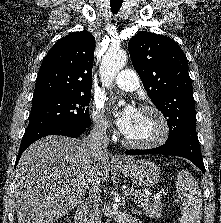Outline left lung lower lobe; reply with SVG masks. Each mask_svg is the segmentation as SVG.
I'll list each match as a JSON object with an SVG mask.
<instances>
[{"label":"left lung lower lobe","instance_id":"0a47b994","mask_svg":"<svg viewBox=\"0 0 221 223\" xmlns=\"http://www.w3.org/2000/svg\"><path fill=\"white\" fill-rule=\"evenodd\" d=\"M127 155L139 154H164L174 155L189 159L200 170L205 173V167L201 156L199 141L197 136H184L179 139L165 142L162 146L148 150H128L125 152Z\"/></svg>","mask_w":221,"mask_h":223}]
</instances>
